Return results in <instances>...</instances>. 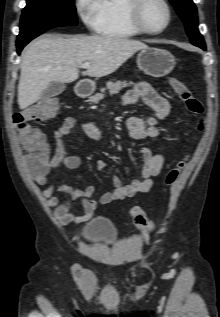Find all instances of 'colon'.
I'll list each match as a JSON object with an SVG mask.
<instances>
[{"instance_id": "obj_1", "label": "colon", "mask_w": 220, "mask_h": 317, "mask_svg": "<svg viewBox=\"0 0 220 317\" xmlns=\"http://www.w3.org/2000/svg\"><path fill=\"white\" fill-rule=\"evenodd\" d=\"M171 86L182 101L186 109L199 117L197 128L203 131L205 127L204 107L201 102L192 94L188 86L179 78L172 77ZM59 105L54 97L45 98L32 106L16 113L13 117L14 125L19 134L20 143L27 152L26 162L29 166L42 169L48 163L49 150L41 131L31 125L34 121H46L53 118ZM189 157H186L176 167L171 169L166 176V184L172 185L179 177L181 171L186 166ZM130 215L134 223L144 231H152L153 224L148 219L145 212L139 207H133Z\"/></svg>"}]
</instances>
